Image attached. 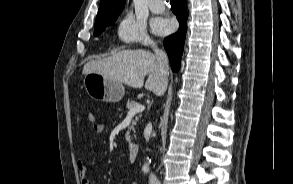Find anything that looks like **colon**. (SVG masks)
Masks as SVG:
<instances>
[{"instance_id":"1","label":"colon","mask_w":293,"mask_h":184,"mask_svg":"<svg viewBox=\"0 0 293 184\" xmlns=\"http://www.w3.org/2000/svg\"><path fill=\"white\" fill-rule=\"evenodd\" d=\"M88 120H89L91 123H94V122H95V115H94L92 112H90V113L88 114Z\"/></svg>"}]
</instances>
